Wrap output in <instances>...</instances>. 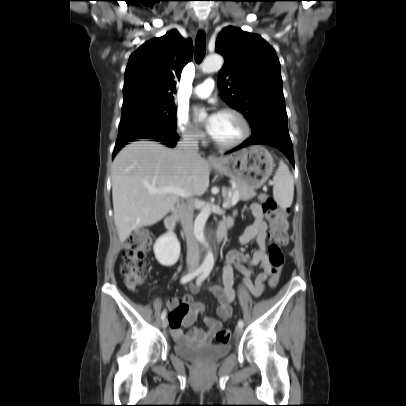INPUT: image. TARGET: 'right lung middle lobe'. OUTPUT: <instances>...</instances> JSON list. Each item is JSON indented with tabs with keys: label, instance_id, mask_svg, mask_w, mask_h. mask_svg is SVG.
Segmentation results:
<instances>
[{
	"label": "right lung middle lobe",
	"instance_id": "obj_1",
	"mask_svg": "<svg viewBox=\"0 0 406 406\" xmlns=\"http://www.w3.org/2000/svg\"><path fill=\"white\" fill-rule=\"evenodd\" d=\"M174 104L140 103L122 107L116 143L176 134Z\"/></svg>",
	"mask_w": 406,
	"mask_h": 406
}]
</instances>
